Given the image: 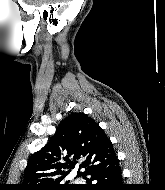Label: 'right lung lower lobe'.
<instances>
[{"instance_id": "right-lung-lower-lobe-1", "label": "right lung lower lobe", "mask_w": 165, "mask_h": 190, "mask_svg": "<svg viewBox=\"0 0 165 190\" xmlns=\"http://www.w3.org/2000/svg\"><path fill=\"white\" fill-rule=\"evenodd\" d=\"M82 176L86 184L81 190H127V186L122 183L116 154L91 167Z\"/></svg>"}]
</instances>
